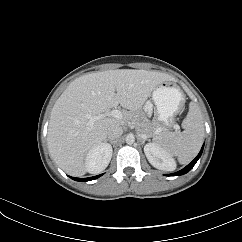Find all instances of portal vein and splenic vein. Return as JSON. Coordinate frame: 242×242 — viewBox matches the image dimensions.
<instances>
[{
	"label": "portal vein and splenic vein",
	"instance_id": "18ae733b",
	"mask_svg": "<svg viewBox=\"0 0 242 242\" xmlns=\"http://www.w3.org/2000/svg\"><path fill=\"white\" fill-rule=\"evenodd\" d=\"M87 116L90 119L89 120V125H91V126L94 124V122L96 120H99V119L104 118L106 116H108V117L111 116V117H114L116 119H122L123 118V114H122V112L120 110H112L111 112L104 113V114H100L98 116H91V115H87ZM173 128L176 129V130H179L180 129V127L178 125H174ZM141 136L143 138H147V135H144L143 134Z\"/></svg>",
	"mask_w": 242,
	"mask_h": 242
}]
</instances>
